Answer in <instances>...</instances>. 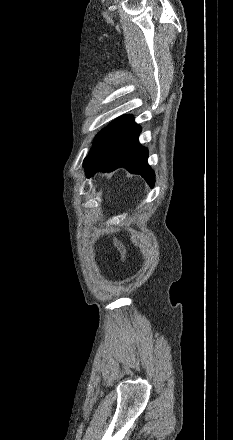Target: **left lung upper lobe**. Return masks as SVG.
Here are the masks:
<instances>
[{
  "instance_id": "left-lung-upper-lobe-1",
  "label": "left lung upper lobe",
  "mask_w": 233,
  "mask_h": 440,
  "mask_svg": "<svg viewBox=\"0 0 233 440\" xmlns=\"http://www.w3.org/2000/svg\"><path fill=\"white\" fill-rule=\"evenodd\" d=\"M102 132H103V130L97 134V136L94 139V143L97 141V139L99 138V136L101 135Z\"/></svg>"
}]
</instances>
